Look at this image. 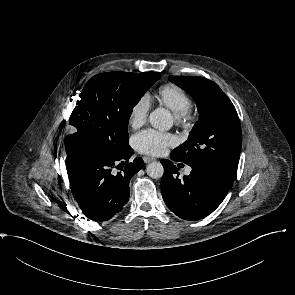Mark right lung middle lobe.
Returning <instances> with one entry per match:
<instances>
[{"mask_svg":"<svg viewBox=\"0 0 295 295\" xmlns=\"http://www.w3.org/2000/svg\"><path fill=\"white\" fill-rule=\"evenodd\" d=\"M160 77L154 72L93 76L68 120L75 133L64 140L66 163L89 150L124 153L129 148L127 129L133 107Z\"/></svg>","mask_w":295,"mask_h":295,"instance_id":"dd1d6c3e","label":"right lung middle lobe"}]
</instances>
